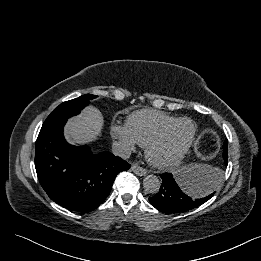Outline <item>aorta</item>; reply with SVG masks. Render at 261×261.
Masks as SVG:
<instances>
[{
  "mask_svg": "<svg viewBox=\"0 0 261 261\" xmlns=\"http://www.w3.org/2000/svg\"><path fill=\"white\" fill-rule=\"evenodd\" d=\"M143 187L146 192L155 194L161 187V181L153 174L147 175L143 180Z\"/></svg>",
  "mask_w": 261,
  "mask_h": 261,
  "instance_id": "762f6f07",
  "label": "aorta"
}]
</instances>
